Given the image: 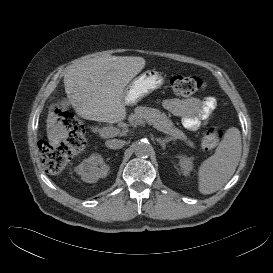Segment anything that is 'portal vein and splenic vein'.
Here are the masks:
<instances>
[{
  "instance_id": "obj_1",
  "label": "portal vein and splenic vein",
  "mask_w": 273,
  "mask_h": 273,
  "mask_svg": "<svg viewBox=\"0 0 273 273\" xmlns=\"http://www.w3.org/2000/svg\"><path fill=\"white\" fill-rule=\"evenodd\" d=\"M137 124L143 125L145 124V121L139 120ZM118 132V129L113 127H105L99 130L100 136L104 138L116 136Z\"/></svg>"
}]
</instances>
